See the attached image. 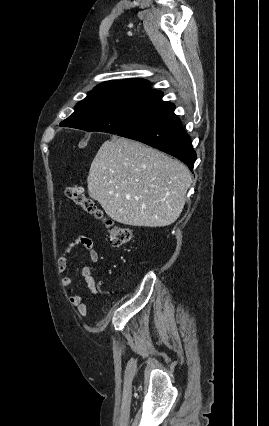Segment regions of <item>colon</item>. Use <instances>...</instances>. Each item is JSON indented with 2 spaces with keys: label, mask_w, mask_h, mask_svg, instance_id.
Segmentation results:
<instances>
[{
  "label": "colon",
  "mask_w": 269,
  "mask_h": 426,
  "mask_svg": "<svg viewBox=\"0 0 269 426\" xmlns=\"http://www.w3.org/2000/svg\"><path fill=\"white\" fill-rule=\"evenodd\" d=\"M66 196L79 206L82 211L88 215L102 220L105 229V235L113 246H123L131 242L133 233L130 229L116 225L114 222L106 219L103 212L97 207L96 203L87 197L82 188L78 185H70L66 188Z\"/></svg>",
  "instance_id": "1"
}]
</instances>
